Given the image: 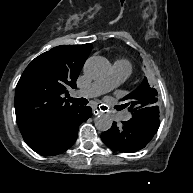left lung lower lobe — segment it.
Returning a JSON list of instances; mask_svg holds the SVG:
<instances>
[{"label": "left lung lower lobe", "instance_id": "0a47b994", "mask_svg": "<svg viewBox=\"0 0 193 193\" xmlns=\"http://www.w3.org/2000/svg\"><path fill=\"white\" fill-rule=\"evenodd\" d=\"M116 122L111 129L101 134L102 141L115 151L131 153L144 148L153 138L159 127V110L157 106L142 108L132 113L129 121Z\"/></svg>", "mask_w": 193, "mask_h": 193}]
</instances>
